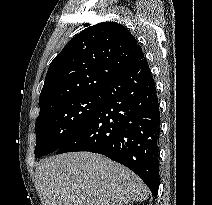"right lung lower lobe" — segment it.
Instances as JSON below:
<instances>
[{
	"mask_svg": "<svg viewBox=\"0 0 212 205\" xmlns=\"http://www.w3.org/2000/svg\"><path fill=\"white\" fill-rule=\"evenodd\" d=\"M100 92L99 106L56 154H103L135 172L157 197L160 110L147 60L122 71Z\"/></svg>",
	"mask_w": 212,
	"mask_h": 205,
	"instance_id": "right-lung-lower-lobe-1",
	"label": "right lung lower lobe"
}]
</instances>
